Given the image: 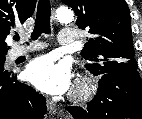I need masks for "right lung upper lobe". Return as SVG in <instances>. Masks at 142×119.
<instances>
[{"label":"right lung upper lobe","mask_w":142,"mask_h":119,"mask_svg":"<svg viewBox=\"0 0 142 119\" xmlns=\"http://www.w3.org/2000/svg\"><path fill=\"white\" fill-rule=\"evenodd\" d=\"M37 0H0V54L10 48L5 39L10 30L23 24L34 13Z\"/></svg>","instance_id":"obj_1"}]
</instances>
